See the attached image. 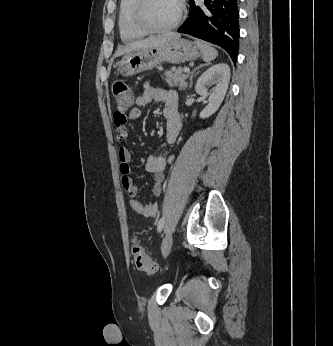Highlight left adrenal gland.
<instances>
[{
  "instance_id": "left-adrenal-gland-1",
  "label": "left adrenal gland",
  "mask_w": 333,
  "mask_h": 346,
  "mask_svg": "<svg viewBox=\"0 0 333 346\" xmlns=\"http://www.w3.org/2000/svg\"><path fill=\"white\" fill-rule=\"evenodd\" d=\"M204 65H206V64H201V65H199L198 67H196V68L191 72V75H190V85H189L190 88L192 87V79H193L194 73H195L199 68L203 67Z\"/></svg>"
}]
</instances>
